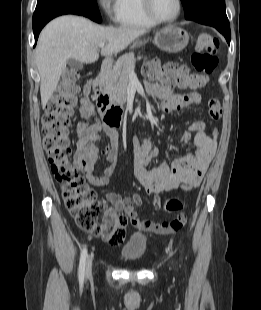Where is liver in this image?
<instances>
[{"mask_svg":"<svg viewBox=\"0 0 261 310\" xmlns=\"http://www.w3.org/2000/svg\"><path fill=\"white\" fill-rule=\"evenodd\" d=\"M145 33L142 29L99 26L75 15L52 20L40 33L36 49L42 107L46 106L57 88L69 58L93 63L99 58L100 43L106 44L101 48V55L111 56L126 49Z\"/></svg>","mask_w":261,"mask_h":310,"instance_id":"obj_1","label":"liver"}]
</instances>
